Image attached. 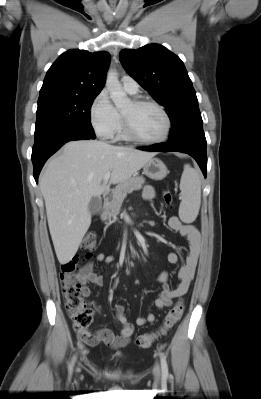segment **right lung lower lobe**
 <instances>
[{
    "label": "right lung lower lobe",
    "instance_id": "obj_1",
    "mask_svg": "<svg viewBox=\"0 0 261 399\" xmlns=\"http://www.w3.org/2000/svg\"><path fill=\"white\" fill-rule=\"evenodd\" d=\"M95 138L94 131H86L69 124H55L35 131V143L31 158L36 182H38L39 173L47 159L66 142Z\"/></svg>",
    "mask_w": 261,
    "mask_h": 399
}]
</instances>
